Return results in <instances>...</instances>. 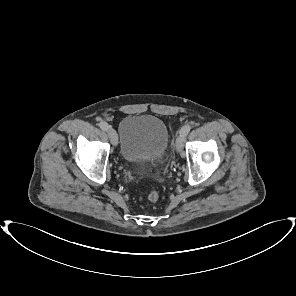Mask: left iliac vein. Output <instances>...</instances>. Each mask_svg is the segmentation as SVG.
Listing matches in <instances>:
<instances>
[{
    "mask_svg": "<svg viewBox=\"0 0 296 296\" xmlns=\"http://www.w3.org/2000/svg\"><path fill=\"white\" fill-rule=\"evenodd\" d=\"M185 138H186V135L183 133H180L176 139L175 146H176L177 152H179V153H181L183 151Z\"/></svg>",
    "mask_w": 296,
    "mask_h": 296,
    "instance_id": "4c4485c4",
    "label": "left iliac vein"
}]
</instances>
